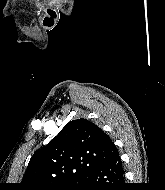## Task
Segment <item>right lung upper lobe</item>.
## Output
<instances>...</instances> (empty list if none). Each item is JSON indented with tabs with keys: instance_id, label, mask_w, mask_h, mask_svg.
<instances>
[{
	"instance_id": "obj_1",
	"label": "right lung upper lobe",
	"mask_w": 165,
	"mask_h": 190,
	"mask_svg": "<svg viewBox=\"0 0 165 190\" xmlns=\"http://www.w3.org/2000/svg\"><path fill=\"white\" fill-rule=\"evenodd\" d=\"M118 154L110 137L86 120L70 121L46 146L35 151L21 190H54L79 183L82 175Z\"/></svg>"
}]
</instances>
